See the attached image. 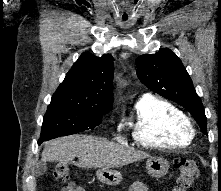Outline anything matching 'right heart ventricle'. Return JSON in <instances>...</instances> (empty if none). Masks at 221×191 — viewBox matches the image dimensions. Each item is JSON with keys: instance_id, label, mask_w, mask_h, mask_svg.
<instances>
[{"instance_id": "1", "label": "right heart ventricle", "mask_w": 221, "mask_h": 191, "mask_svg": "<svg viewBox=\"0 0 221 191\" xmlns=\"http://www.w3.org/2000/svg\"><path fill=\"white\" fill-rule=\"evenodd\" d=\"M185 114L169 100H138L130 124L133 141L145 148H184L191 138L185 133Z\"/></svg>"}]
</instances>
